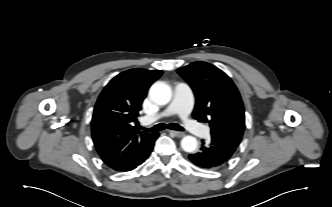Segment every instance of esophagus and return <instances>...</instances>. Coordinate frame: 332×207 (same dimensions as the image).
Masks as SVG:
<instances>
[{"mask_svg": "<svg viewBox=\"0 0 332 207\" xmlns=\"http://www.w3.org/2000/svg\"><path fill=\"white\" fill-rule=\"evenodd\" d=\"M170 133H172L174 136L176 137H183L185 134L183 132H179V131H174V130H169Z\"/></svg>", "mask_w": 332, "mask_h": 207, "instance_id": "esophagus-1", "label": "esophagus"}]
</instances>
